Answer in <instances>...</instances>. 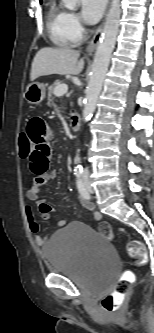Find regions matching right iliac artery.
<instances>
[{"mask_svg":"<svg viewBox=\"0 0 154 333\" xmlns=\"http://www.w3.org/2000/svg\"><path fill=\"white\" fill-rule=\"evenodd\" d=\"M74 174L76 176V184H77V188H78V191H79L80 195L82 197H84L85 199L89 200L90 199V194L86 190V188L84 186V183H83V180H82L83 169L82 168H75L74 169Z\"/></svg>","mask_w":154,"mask_h":333,"instance_id":"right-iliac-artery-1","label":"right iliac artery"}]
</instances>
